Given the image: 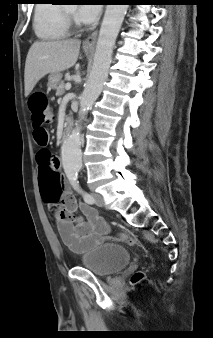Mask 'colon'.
Returning a JSON list of instances; mask_svg holds the SVG:
<instances>
[{"instance_id":"1","label":"colon","mask_w":213,"mask_h":338,"mask_svg":"<svg viewBox=\"0 0 213 338\" xmlns=\"http://www.w3.org/2000/svg\"><path fill=\"white\" fill-rule=\"evenodd\" d=\"M29 109L31 111V120L34 127V140L35 143L44 148L50 142V137L48 131L44 128L45 123H50L53 119V109L49 105L47 96L44 92H35L33 93L28 101ZM39 157L42 160L45 158L43 151L39 153ZM57 167V166H56ZM55 169V168H54ZM56 170V169H55ZM43 179L49 184L52 185V176L51 169H43ZM50 212L55 216L57 222L60 219V207L59 204L55 203L50 207ZM67 220H74V214H68L65 216ZM115 240L126 245H133L135 240L130 236H117ZM143 278V273L139 272L134 276V281H139Z\"/></svg>"}]
</instances>
